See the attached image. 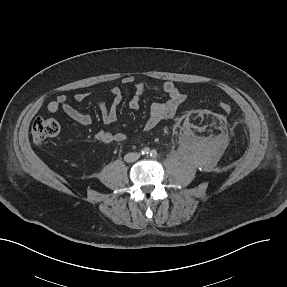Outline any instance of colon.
Wrapping results in <instances>:
<instances>
[{"instance_id":"colon-1","label":"colon","mask_w":287,"mask_h":287,"mask_svg":"<svg viewBox=\"0 0 287 287\" xmlns=\"http://www.w3.org/2000/svg\"><path fill=\"white\" fill-rule=\"evenodd\" d=\"M219 107L224 113H230L232 111V105L229 102H221ZM59 133L60 125L53 118L39 117L34 120L31 127L32 138L34 142L39 145L57 137Z\"/></svg>"}]
</instances>
